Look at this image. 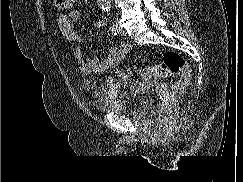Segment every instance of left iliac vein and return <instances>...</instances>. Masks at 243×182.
<instances>
[{"label":"left iliac vein","mask_w":243,"mask_h":182,"mask_svg":"<svg viewBox=\"0 0 243 182\" xmlns=\"http://www.w3.org/2000/svg\"><path fill=\"white\" fill-rule=\"evenodd\" d=\"M119 30H120V34L122 36H125L126 35V32H125V30L122 27H119Z\"/></svg>","instance_id":"1"}]
</instances>
